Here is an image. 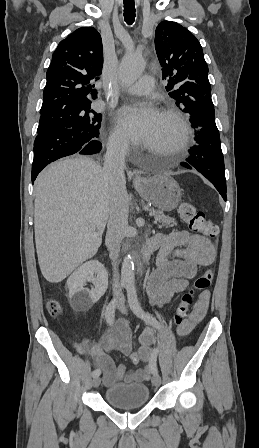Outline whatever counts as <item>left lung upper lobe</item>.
<instances>
[{"instance_id":"1","label":"left lung upper lobe","mask_w":259,"mask_h":448,"mask_svg":"<svg viewBox=\"0 0 259 448\" xmlns=\"http://www.w3.org/2000/svg\"><path fill=\"white\" fill-rule=\"evenodd\" d=\"M155 49L166 91L177 106L185 107L195 131L215 127L208 66L197 38L180 24L163 21L156 28Z\"/></svg>"}]
</instances>
